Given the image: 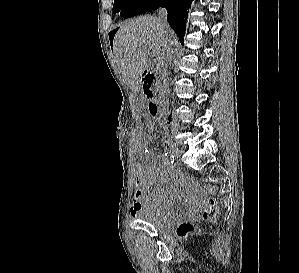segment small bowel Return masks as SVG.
Masks as SVG:
<instances>
[{"label": "small bowel", "mask_w": 299, "mask_h": 273, "mask_svg": "<svg viewBox=\"0 0 299 273\" xmlns=\"http://www.w3.org/2000/svg\"><path fill=\"white\" fill-rule=\"evenodd\" d=\"M146 128V133L136 135L137 146L145 152L147 157L157 159V154L150 150L146 144L147 140L152 141L155 124L148 121ZM158 181L168 184L151 189V186ZM135 183L136 192L131 206V214L134 217L142 210H149L158 214L170 213V205L176 200L189 204L186 212L188 217H195L199 212V201L186 189L184 179L162 161L156 164H139Z\"/></svg>", "instance_id": "obj_1"}]
</instances>
